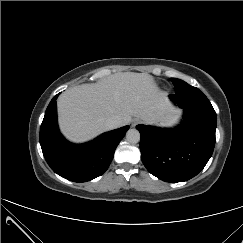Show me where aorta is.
<instances>
[{
  "label": "aorta",
  "instance_id": "1",
  "mask_svg": "<svg viewBox=\"0 0 243 243\" xmlns=\"http://www.w3.org/2000/svg\"><path fill=\"white\" fill-rule=\"evenodd\" d=\"M126 140L129 143L136 144L140 141V133L136 129H129L126 133Z\"/></svg>",
  "mask_w": 243,
  "mask_h": 243
}]
</instances>
